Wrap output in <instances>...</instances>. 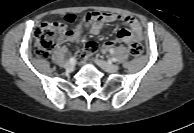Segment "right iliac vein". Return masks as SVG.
I'll return each instance as SVG.
<instances>
[{
    "instance_id": "63e3f726",
    "label": "right iliac vein",
    "mask_w": 194,
    "mask_h": 133,
    "mask_svg": "<svg viewBox=\"0 0 194 133\" xmlns=\"http://www.w3.org/2000/svg\"><path fill=\"white\" fill-rule=\"evenodd\" d=\"M64 67H65V69H66L67 71H69V72H71V71L74 70V64L71 63V62H66V63L64 64Z\"/></svg>"
}]
</instances>
